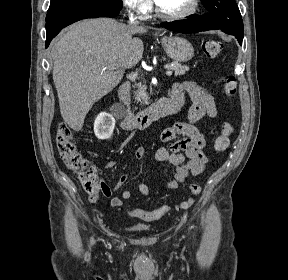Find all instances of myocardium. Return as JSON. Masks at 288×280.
Segmentation results:
<instances>
[{"mask_svg": "<svg viewBox=\"0 0 288 280\" xmlns=\"http://www.w3.org/2000/svg\"><path fill=\"white\" fill-rule=\"evenodd\" d=\"M199 5H200V0H192L191 6L187 10H185L184 12H181V13H178V14H167V13H164L159 8V6L157 5L156 6V14L160 18L165 19V20L179 21V20H183V19H186V18L194 15L197 12V10H198Z\"/></svg>", "mask_w": 288, "mask_h": 280, "instance_id": "obj_1", "label": "myocardium"}]
</instances>
